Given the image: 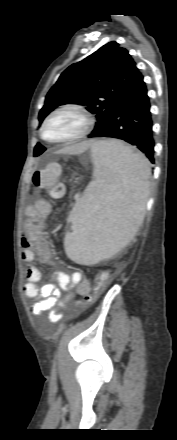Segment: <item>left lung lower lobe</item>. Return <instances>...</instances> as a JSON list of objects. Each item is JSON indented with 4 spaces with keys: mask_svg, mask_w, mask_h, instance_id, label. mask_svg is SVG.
<instances>
[{
    "mask_svg": "<svg viewBox=\"0 0 177 440\" xmlns=\"http://www.w3.org/2000/svg\"><path fill=\"white\" fill-rule=\"evenodd\" d=\"M147 88L142 78L107 122L88 137L124 140L141 150L154 164V139Z\"/></svg>",
    "mask_w": 177,
    "mask_h": 440,
    "instance_id": "1",
    "label": "left lung lower lobe"
}]
</instances>
